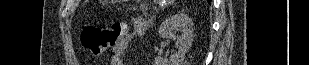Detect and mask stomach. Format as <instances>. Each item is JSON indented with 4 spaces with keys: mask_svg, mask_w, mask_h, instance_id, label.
Masks as SVG:
<instances>
[{
    "mask_svg": "<svg viewBox=\"0 0 309 65\" xmlns=\"http://www.w3.org/2000/svg\"><path fill=\"white\" fill-rule=\"evenodd\" d=\"M107 3H112V2H117V0H109V1H106Z\"/></svg>",
    "mask_w": 309,
    "mask_h": 65,
    "instance_id": "obj_1",
    "label": "stomach"
}]
</instances>
